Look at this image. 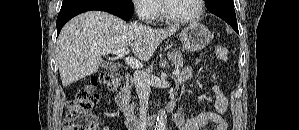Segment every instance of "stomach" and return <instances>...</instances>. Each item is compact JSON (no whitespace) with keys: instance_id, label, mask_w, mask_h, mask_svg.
I'll list each match as a JSON object with an SVG mask.
<instances>
[{"instance_id":"1","label":"stomach","mask_w":299,"mask_h":130,"mask_svg":"<svg viewBox=\"0 0 299 130\" xmlns=\"http://www.w3.org/2000/svg\"><path fill=\"white\" fill-rule=\"evenodd\" d=\"M179 39L185 50L190 52L204 49L212 39L208 28L200 23H191L179 33Z\"/></svg>"}]
</instances>
